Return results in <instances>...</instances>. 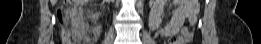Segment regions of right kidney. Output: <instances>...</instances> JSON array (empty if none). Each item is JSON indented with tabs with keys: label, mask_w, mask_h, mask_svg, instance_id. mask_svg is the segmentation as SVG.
<instances>
[{
	"label": "right kidney",
	"mask_w": 261,
	"mask_h": 44,
	"mask_svg": "<svg viewBox=\"0 0 261 44\" xmlns=\"http://www.w3.org/2000/svg\"><path fill=\"white\" fill-rule=\"evenodd\" d=\"M91 17H92V19H93V20H95V19H97V18H98V14H97V13H96V14H92V16H91Z\"/></svg>",
	"instance_id": "ca27d5eb"
}]
</instances>
